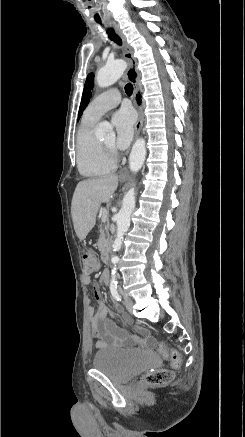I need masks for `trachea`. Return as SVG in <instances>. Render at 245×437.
<instances>
[{"label":"trachea","mask_w":245,"mask_h":437,"mask_svg":"<svg viewBox=\"0 0 245 437\" xmlns=\"http://www.w3.org/2000/svg\"><path fill=\"white\" fill-rule=\"evenodd\" d=\"M98 23L101 24V26H103L101 22H98ZM107 34H108V37H109L110 40H112L113 42H115L118 45H122V40L114 32L113 29H107ZM125 92L129 96L132 95V93H133V86H132V84L128 83V84L125 85Z\"/></svg>","instance_id":"1"}]
</instances>
